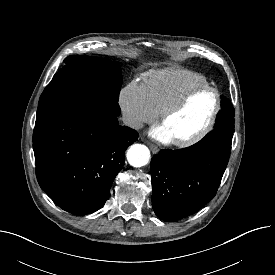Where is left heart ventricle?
I'll return each mask as SVG.
<instances>
[{"instance_id": "obj_1", "label": "left heart ventricle", "mask_w": 275, "mask_h": 275, "mask_svg": "<svg viewBox=\"0 0 275 275\" xmlns=\"http://www.w3.org/2000/svg\"><path fill=\"white\" fill-rule=\"evenodd\" d=\"M216 97L206 90L194 95L178 112L170 116L162 126L171 139L189 137L198 132L209 120Z\"/></svg>"}]
</instances>
